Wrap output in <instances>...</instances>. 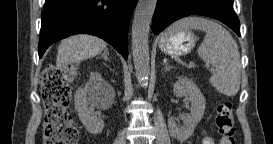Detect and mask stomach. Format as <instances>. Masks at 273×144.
Instances as JSON below:
<instances>
[{"instance_id":"1","label":"stomach","mask_w":273,"mask_h":144,"mask_svg":"<svg viewBox=\"0 0 273 144\" xmlns=\"http://www.w3.org/2000/svg\"><path fill=\"white\" fill-rule=\"evenodd\" d=\"M196 44V37L189 31L178 30L165 32L160 39L161 51L168 55H185L189 53Z\"/></svg>"}]
</instances>
